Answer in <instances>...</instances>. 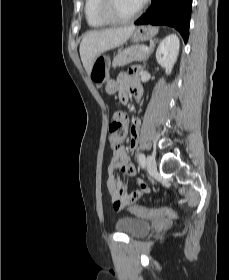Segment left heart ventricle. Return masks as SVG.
I'll return each instance as SVG.
<instances>
[{
  "label": "left heart ventricle",
  "instance_id": "obj_1",
  "mask_svg": "<svg viewBox=\"0 0 229 280\" xmlns=\"http://www.w3.org/2000/svg\"><path fill=\"white\" fill-rule=\"evenodd\" d=\"M139 8L137 0H114L113 11L120 17H128Z\"/></svg>",
  "mask_w": 229,
  "mask_h": 280
}]
</instances>
